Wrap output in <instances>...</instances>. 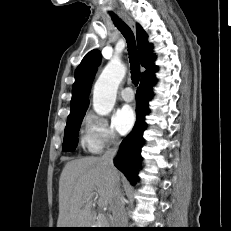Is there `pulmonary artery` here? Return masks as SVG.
<instances>
[{
  "mask_svg": "<svg viewBox=\"0 0 231 231\" xmlns=\"http://www.w3.org/2000/svg\"><path fill=\"white\" fill-rule=\"evenodd\" d=\"M121 97L124 101L130 102L134 99V93L132 88L126 87L121 91Z\"/></svg>",
  "mask_w": 231,
  "mask_h": 231,
  "instance_id": "pulmonary-artery-1",
  "label": "pulmonary artery"
}]
</instances>
